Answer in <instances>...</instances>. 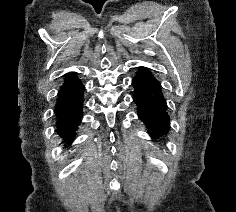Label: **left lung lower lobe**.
Instances as JSON below:
<instances>
[{
	"label": "left lung lower lobe",
	"instance_id": "0a47b994",
	"mask_svg": "<svg viewBox=\"0 0 236 212\" xmlns=\"http://www.w3.org/2000/svg\"><path fill=\"white\" fill-rule=\"evenodd\" d=\"M133 100L137 105V114L149 129L151 137L159 138L168 133L170 119L167 113L161 83L151 69L138 67L132 80Z\"/></svg>",
	"mask_w": 236,
	"mask_h": 212
}]
</instances>
